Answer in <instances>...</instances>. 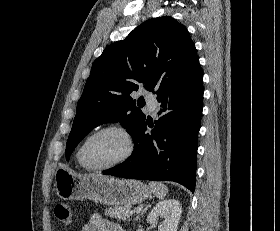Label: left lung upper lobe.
<instances>
[{
	"instance_id": "left-lung-upper-lobe-1",
	"label": "left lung upper lobe",
	"mask_w": 280,
	"mask_h": 231,
	"mask_svg": "<svg viewBox=\"0 0 280 231\" xmlns=\"http://www.w3.org/2000/svg\"><path fill=\"white\" fill-rule=\"evenodd\" d=\"M200 67L184 25L170 16L152 18L124 40L105 48L92 65L66 145V159L96 126L120 122L132 135L145 115L130 94L141 86L160 94Z\"/></svg>"
}]
</instances>
